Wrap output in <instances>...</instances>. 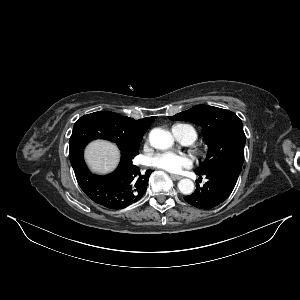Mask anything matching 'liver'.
I'll return each mask as SVG.
<instances>
[{
    "label": "liver",
    "mask_w": 300,
    "mask_h": 300,
    "mask_svg": "<svg viewBox=\"0 0 300 300\" xmlns=\"http://www.w3.org/2000/svg\"><path fill=\"white\" fill-rule=\"evenodd\" d=\"M117 147L106 141H94L85 150V160L92 172L106 174L118 164Z\"/></svg>",
    "instance_id": "1"
}]
</instances>
